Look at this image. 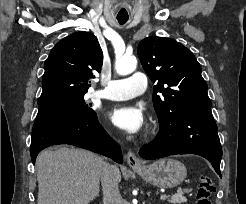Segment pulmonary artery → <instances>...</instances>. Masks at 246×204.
I'll return each instance as SVG.
<instances>
[{
    "label": "pulmonary artery",
    "mask_w": 246,
    "mask_h": 204,
    "mask_svg": "<svg viewBox=\"0 0 246 204\" xmlns=\"http://www.w3.org/2000/svg\"><path fill=\"white\" fill-rule=\"evenodd\" d=\"M146 88V75L135 72L128 78L109 81L107 87L97 91L96 95L109 100H127L142 94Z\"/></svg>",
    "instance_id": "pulmonary-artery-1"
}]
</instances>
